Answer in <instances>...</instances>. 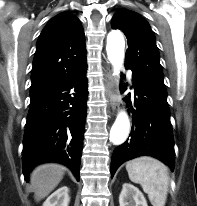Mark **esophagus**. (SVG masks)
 <instances>
[{"label":"esophagus","mask_w":197,"mask_h":206,"mask_svg":"<svg viewBox=\"0 0 197 206\" xmlns=\"http://www.w3.org/2000/svg\"><path fill=\"white\" fill-rule=\"evenodd\" d=\"M104 72H105L106 95L109 99L110 106H111L112 110L115 111L118 105H117V102L115 100L114 77L112 74V70L110 69L109 66H105Z\"/></svg>","instance_id":"34e87169"}]
</instances>
